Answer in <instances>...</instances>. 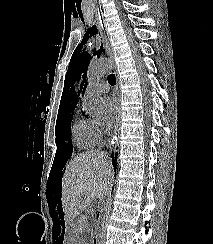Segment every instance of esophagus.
I'll use <instances>...</instances> for the list:
<instances>
[{
	"label": "esophagus",
	"instance_id": "34e87169",
	"mask_svg": "<svg viewBox=\"0 0 213 244\" xmlns=\"http://www.w3.org/2000/svg\"><path fill=\"white\" fill-rule=\"evenodd\" d=\"M103 42H104V48H105L106 54L109 57V61L113 64L114 63V58H113V52H112V49H111L110 42H109V40H107L105 38H103ZM111 69L114 71V73L116 75V79H117V83H116V86H115V94L117 96V100H118V104H119L117 121H116L115 128H114V135H113V139L111 141V144L113 145L115 143V141H116V136H117V134L119 132L118 128H119V122H120V95H119V83H118V75H117L116 66L113 64Z\"/></svg>",
	"mask_w": 213,
	"mask_h": 244
}]
</instances>
